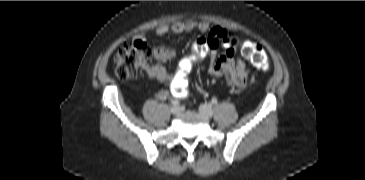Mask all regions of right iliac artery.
<instances>
[{
  "mask_svg": "<svg viewBox=\"0 0 365 180\" xmlns=\"http://www.w3.org/2000/svg\"><path fill=\"white\" fill-rule=\"evenodd\" d=\"M171 104H172V105H174V106H175V105H179V101H178V100H172V101H171Z\"/></svg>",
  "mask_w": 365,
  "mask_h": 180,
  "instance_id": "1",
  "label": "right iliac artery"
}]
</instances>
